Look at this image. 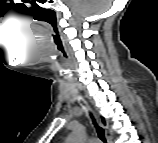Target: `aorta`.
Masks as SVG:
<instances>
[{
	"instance_id": "obj_1",
	"label": "aorta",
	"mask_w": 158,
	"mask_h": 143,
	"mask_svg": "<svg viewBox=\"0 0 158 143\" xmlns=\"http://www.w3.org/2000/svg\"><path fill=\"white\" fill-rule=\"evenodd\" d=\"M81 137H82L81 134L77 133V134H75L74 139L78 141L81 139Z\"/></svg>"
}]
</instances>
